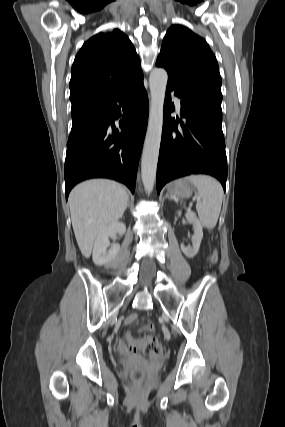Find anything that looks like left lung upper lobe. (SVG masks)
<instances>
[{
	"mask_svg": "<svg viewBox=\"0 0 285 427\" xmlns=\"http://www.w3.org/2000/svg\"><path fill=\"white\" fill-rule=\"evenodd\" d=\"M156 65L168 73V84L221 108V76L215 55L207 42L188 28L172 25L161 46Z\"/></svg>",
	"mask_w": 285,
	"mask_h": 427,
	"instance_id": "1",
	"label": "left lung upper lobe"
}]
</instances>
